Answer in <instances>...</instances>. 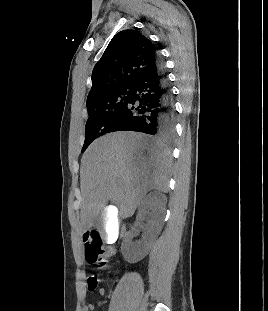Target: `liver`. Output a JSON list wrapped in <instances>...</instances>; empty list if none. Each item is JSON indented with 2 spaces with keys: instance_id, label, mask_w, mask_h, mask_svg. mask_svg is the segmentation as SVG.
<instances>
[{
  "instance_id": "liver-1",
  "label": "liver",
  "mask_w": 268,
  "mask_h": 311,
  "mask_svg": "<svg viewBox=\"0 0 268 311\" xmlns=\"http://www.w3.org/2000/svg\"><path fill=\"white\" fill-rule=\"evenodd\" d=\"M170 166V153L150 146L141 134L115 132L95 140L81 159L80 230L106 216L108 202L124 219L148 191L168 192Z\"/></svg>"
}]
</instances>
